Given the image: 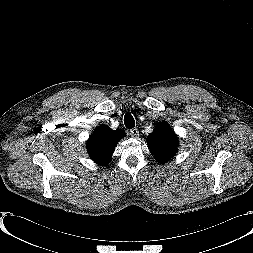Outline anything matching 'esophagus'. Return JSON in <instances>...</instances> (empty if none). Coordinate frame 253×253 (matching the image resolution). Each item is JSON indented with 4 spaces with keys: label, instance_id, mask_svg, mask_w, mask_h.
<instances>
[{
    "label": "esophagus",
    "instance_id": "1",
    "mask_svg": "<svg viewBox=\"0 0 253 253\" xmlns=\"http://www.w3.org/2000/svg\"><path fill=\"white\" fill-rule=\"evenodd\" d=\"M129 133H130L131 137H133V138H138L139 137V131H138L137 128L131 129Z\"/></svg>",
    "mask_w": 253,
    "mask_h": 253
}]
</instances>
